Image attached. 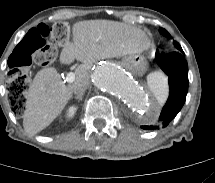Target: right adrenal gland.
Instances as JSON below:
<instances>
[{"mask_svg": "<svg viewBox=\"0 0 215 183\" xmlns=\"http://www.w3.org/2000/svg\"><path fill=\"white\" fill-rule=\"evenodd\" d=\"M84 95V92L80 93V94H77L74 96L75 99H79L80 101L82 100V97Z\"/></svg>", "mask_w": 215, "mask_h": 183, "instance_id": "1", "label": "right adrenal gland"}]
</instances>
